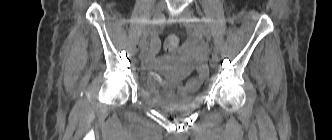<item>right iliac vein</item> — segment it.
I'll list each match as a JSON object with an SVG mask.
<instances>
[{"mask_svg": "<svg viewBox=\"0 0 332 140\" xmlns=\"http://www.w3.org/2000/svg\"><path fill=\"white\" fill-rule=\"evenodd\" d=\"M165 7H166V3L164 0H160L156 4L155 10H154V15H153V23L146 30V32H144L143 36L140 39V43H139L140 50H141L140 58L144 57V52H145L146 45H147V39L154 35V33L156 31V25L162 18Z\"/></svg>", "mask_w": 332, "mask_h": 140, "instance_id": "right-iliac-vein-1", "label": "right iliac vein"}]
</instances>
